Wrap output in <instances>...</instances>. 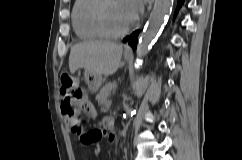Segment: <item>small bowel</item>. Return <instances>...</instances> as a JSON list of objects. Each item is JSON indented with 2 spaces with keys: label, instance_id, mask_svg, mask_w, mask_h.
Listing matches in <instances>:
<instances>
[{
  "label": "small bowel",
  "instance_id": "obj_1",
  "mask_svg": "<svg viewBox=\"0 0 242 160\" xmlns=\"http://www.w3.org/2000/svg\"><path fill=\"white\" fill-rule=\"evenodd\" d=\"M64 104H66L65 101H63L61 103V111H62V107H63ZM88 109L89 108H86L85 110H88ZM62 114H63V112H62ZM65 123L69 127L73 128V130L75 132H78V133L80 132V130L78 129L77 119L65 117ZM94 133H96V136L92 139V142L91 143H94V142L98 141L101 138V136H102V132L100 130H96V131H94ZM109 138H110V140H113V137L112 136H110ZM91 143H89V144H91Z\"/></svg>",
  "mask_w": 242,
  "mask_h": 160
}]
</instances>
